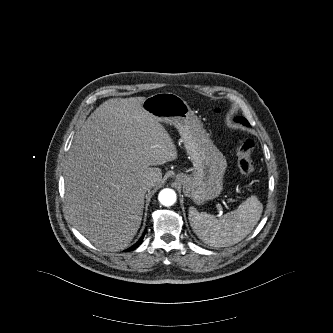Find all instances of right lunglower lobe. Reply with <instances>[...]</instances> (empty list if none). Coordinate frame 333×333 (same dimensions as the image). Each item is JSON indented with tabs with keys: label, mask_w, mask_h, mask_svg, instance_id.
I'll return each mask as SVG.
<instances>
[{
	"label": "right lung lower lobe",
	"mask_w": 333,
	"mask_h": 333,
	"mask_svg": "<svg viewBox=\"0 0 333 333\" xmlns=\"http://www.w3.org/2000/svg\"><path fill=\"white\" fill-rule=\"evenodd\" d=\"M144 235H145V233H144L143 236L140 238V240H139L136 244H134L132 247H130L127 251L133 250V249H135L137 246H139V245L141 244L142 240H143Z\"/></svg>",
	"instance_id": "1"
}]
</instances>
